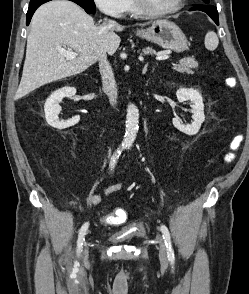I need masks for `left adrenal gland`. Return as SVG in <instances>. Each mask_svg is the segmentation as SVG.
<instances>
[{"label": "left adrenal gland", "mask_w": 249, "mask_h": 294, "mask_svg": "<svg viewBox=\"0 0 249 294\" xmlns=\"http://www.w3.org/2000/svg\"><path fill=\"white\" fill-rule=\"evenodd\" d=\"M148 63L144 66L142 73L145 74L147 71Z\"/></svg>", "instance_id": "1"}]
</instances>
